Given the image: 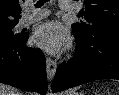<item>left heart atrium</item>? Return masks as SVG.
<instances>
[{
	"label": "left heart atrium",
	"instance_id": "39dd6f15",
	"mask_svg": "<svg viewBox=\"0 0 119 95\" xmlns=\"http://www.w3.org/2000/svg\"><path fill=\"white\" fill-rule=\"evenodd\" d=\"M34 43L50 53L60 52L67 43V32L57 21L39 26L33 36Z\"/></svg>",
	"mask_w": 119,
	"mask_h": 95
}]
</instances>
